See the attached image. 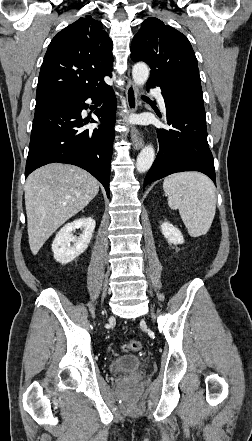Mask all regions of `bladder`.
I'll return each mask as SVG.
<instances>
[{"label":"bladder","instance_id":"1","mask_svg":"<svg viewBox=\"0 0 252 441\" xmlns=\"http://www.w3.org/2000/svg\"><path fill=\"white\" fill-rule=\"evenodd\" d=\"M143 360L136 355H124L112 360L108 364V370L112 374H122L142 368Z\"/></svg>","mask_w":252,"mask_h":441}]
</instances>
